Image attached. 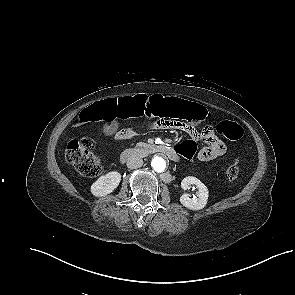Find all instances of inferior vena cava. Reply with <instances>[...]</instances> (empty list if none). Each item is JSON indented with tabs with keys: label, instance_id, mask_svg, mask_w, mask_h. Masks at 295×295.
I'll return each instance as SVG.
<instances>
[{
	"label": "inferior vena cava",
	"instance_id": "602c4592",
	"mask_svg": "<svg viewBox=\"0 0 295 295\" xmlns=\"http://www.w3.org/2000/svg\"><path fill=\"white\" fill-rule=\"evenodd\" d=\"M143 165V160L139 157H131L127 160V167L129 169H137Z\"/></svg>",
	"mask_w": 295,
	"mask_h": 295
}]
</instances>
